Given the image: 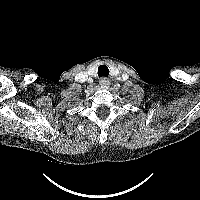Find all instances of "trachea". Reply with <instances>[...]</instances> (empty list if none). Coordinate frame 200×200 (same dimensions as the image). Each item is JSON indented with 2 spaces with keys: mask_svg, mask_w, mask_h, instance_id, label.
Here are the masks:
<instances>
[{
  "mask_svg": "<svg viewBox=\"0 0 200 200\" xmlns=\"http://www.w3.org/2000/svg\"><path fill=\"white\" fill-rule=\"evenodd\" d=\"M97 73L99 77H107L109 75V69L106 65H100Z\"/></svg>",
  "mask_w": 200,
  "mask_h": 200,
  "instance_id": "3493384b",
  "label": "trachea"
}]
</instances>
